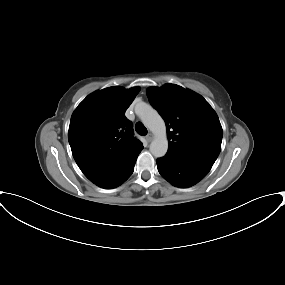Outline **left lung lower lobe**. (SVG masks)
Wrapping results in <instances>:
<instances>
[{"label": "left lung lower lobe", "instance_id": "1", "mask_svg": "<svg viewBox=\"0 0 285 285\" xmlns=\"http://www.w3.org/2000/svg\"><path fill=\"white\" fill-rule=\"evenodd\" d=\"M157 168L172 185L186 188L205 177L211 166L167 153L164 157L157 159Z\"/></svg>", "mask_w": 285, "mask_h": 285}]
</instances>
